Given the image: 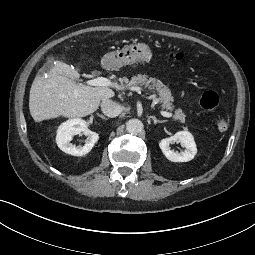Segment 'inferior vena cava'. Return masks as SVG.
I'll return each mask as SVG.
<instances>
[{
  "mask_svg": "<svg viewBox=\"0 0 255 255\" xmlns=\"http://www.w3.org/2000/svg\"><path fill=\"white\" fill-rule=\"evenodd\" d=\"M101 110L108 117H116L121 112V107L113 100L104 99L101 103Z\"/></svg>",
  "mask_w": 255,
  "mask_h": 255,
  "instance_id": "1",
  "label": "inferior vena cava"
}]
</instances>
